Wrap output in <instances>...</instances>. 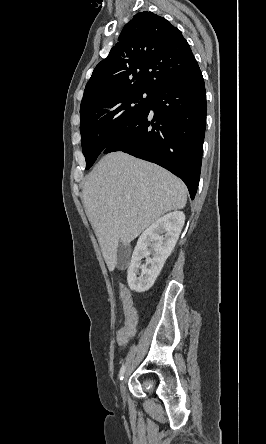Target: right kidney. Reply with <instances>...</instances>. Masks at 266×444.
<instances>
[{
    "instance_id": "right-kidney-1",
    "label": "right kidney",
    "mask_w": 266,
    "mask_h": 444,
    "mask_svg": "<svg viewBox=\"0 0 266 444\" xmlns=\"http://www.w3.org/2000/svg\"><path fill=\"white\" fill-rule=\"evenodd\" d=\"M185 222L183 212L174 211L152 223L139 237L127 271L131 290H149L160 274L166 259L173 251ZM146 263L141 265L142 259ZM141 269V275H139Z\"/></svg>"
}]
</instances>
